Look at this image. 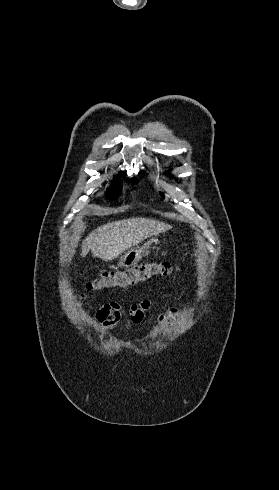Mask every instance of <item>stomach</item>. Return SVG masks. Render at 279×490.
<instances>
[{
	"mask_svg": "<svg viewBox=\"0 0 279 490\" xmlns=\"http://www.w3.org/2000/svg\"><path fill=\"white\" fill-rule=\"evenodd\" d=\"M150 248H152L150 242L148 244H144L142 248H131L125 254H122L118 260V266L120 268H131V266H135L137 262L142 260L143 256H148L150 254Z\"/></svg>",
	"mask_w": 279,
	"mask_h": 490,
	"instance_id": "0dacf381",
	"label": "stomach"
}]
</instances>
